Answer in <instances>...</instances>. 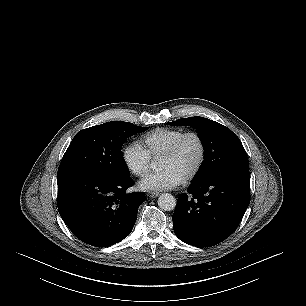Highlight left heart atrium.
<instances>
[{"mask_svg":"<svg viewBox=\"0 0 306 306\" xmlns=\"http://www.w3.org/2000/svg\"><path fill=\"white\" fill-rule=\"evenodd\" d=\"M182 182L183 179L173 170L162 169L142 179L139 187L143 190H168L177 187Z\"/></svg>","mask_w":306,"mask_h":306,"instance_id":"left-heart-atrium-1","label":"left heart atrium"}]
</instances>
